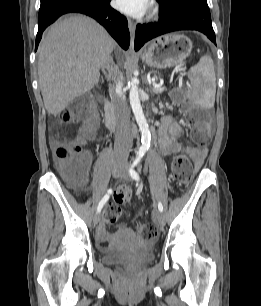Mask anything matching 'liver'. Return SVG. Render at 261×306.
<instances>
[{"mask_svg":"<svg viewBox=\"0 0 261 306\" xmlns=\"http://www.w3.org/2000/svg\"><path fill=\"white\" fill-rule=\"evenodd\" d=\"M115 42L94 19L73 15L53 24L41 43L38 76L45 108L59 114L100 78Z\"/></svg>","mask_w":261,"mask_h":306,"instance_id":"6515ba94","label":"liver"}]
</instances>
